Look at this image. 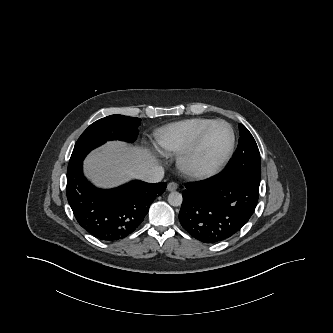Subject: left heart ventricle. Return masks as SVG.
<instances>
[{"mask_svg": "<svg viewBox=\"0 0 333 333\" xmlns=\"http://www.w3.org/2000/svg\"><path fill=\"white\" fill-rule=\"evenodd\" d=\"M230 144V132L223 124L214 125L194 158L197 167L210 168L220 161Z\"/></svg>", "mask_w": 333, "mask_h": 333, "instance_id": "obj_1", "label": "left heart ventricle"}]
</instances>
